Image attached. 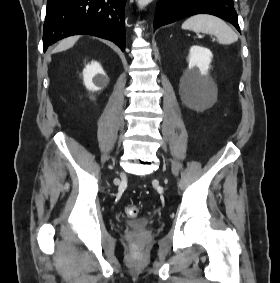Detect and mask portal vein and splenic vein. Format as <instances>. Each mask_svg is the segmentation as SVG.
Segmentation results:
<instances>
[{
	"mask_svg": "<svg viewBox=\"0 0 280 283\" xmlns=\"http://www.w3.org/2000/svg\"><path fill=\"white\" fill-rule=\"evenodd\" d=\"M198 37H199V38H201V37H202V35H201V34H198Z\"/></svg>",
	"mask_w": 280,
	"mask_h": 283,
	"instance_id": "18ae733b",
	"label": "portal vein and splenic vein"
}]
</instances>
